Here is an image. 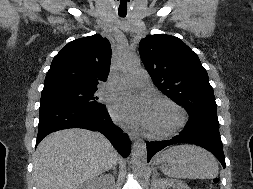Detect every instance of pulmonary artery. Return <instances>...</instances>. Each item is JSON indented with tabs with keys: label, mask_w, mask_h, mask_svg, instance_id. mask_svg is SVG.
<instances>
[{
	"label": "pulmonary artery",
	"mask_w": 253,
	"mask_h": 189,
	"mask_svg": "<svg viewBox=\"0 0 253 189\" xmlns=\"http://www.w3.org/2000/svg\"><path fill=\"white\" fill-rule=\"evenodd\" d=\"M133 83H137L141 86L147 85L148 84L147 75L143 72H134L130 75L123 77L119 82V86L123 87Z\"/></svg>",
	"instance_id": "1"
}]
</instances>
